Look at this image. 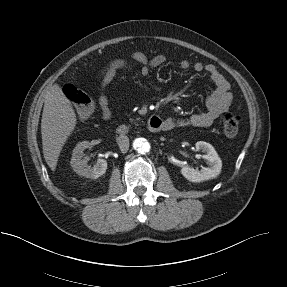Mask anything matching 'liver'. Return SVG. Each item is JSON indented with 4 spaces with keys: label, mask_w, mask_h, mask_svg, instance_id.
Returning <instances> with one entry per match:
<instances>
[{
    "label": "liver",
    "mask_w": 287,
    "mask_h": 287,
    "mask_svg": "<svg viewBox=\"0 0 287 287\" xmlns=\"http://www.w3.org/2000/svg\"><path fill=\"white\" fill-rule=\"evenodd\" d=\"M77 123L70 100L58 84L45 94L41 119L43 154L52 171L56 169L58 157Z\"/></svg>",
    "instance_id": "obj_1"
}]
</instances>
